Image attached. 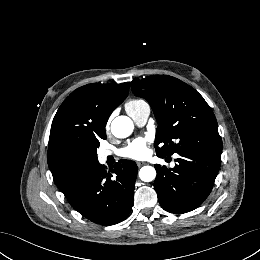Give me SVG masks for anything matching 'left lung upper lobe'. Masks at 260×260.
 Segmentation results:
<instances>
[{"label":"left lung upper lobe","instance_id":"5c2ea615","mask_svg":"<svg viewBox=\"0 0 260 260\" xmlns=\"http://www.w3.org/2000/svg\"><path fill=\"white\" fill-rule=\"evenodd\" d=\"M133 93L151 105L158 127L154 146L161 156L187 150L222 151L216 118L204 98L177 78L153 75L131 82Z\"/></svg>","mask_w":260,"mask_h":260}]
</instances>
